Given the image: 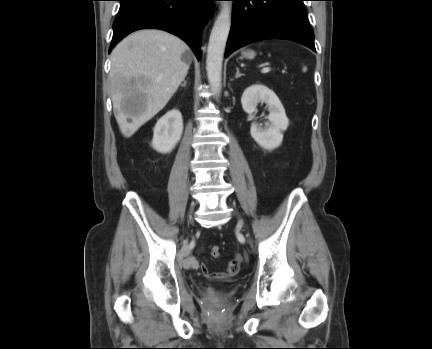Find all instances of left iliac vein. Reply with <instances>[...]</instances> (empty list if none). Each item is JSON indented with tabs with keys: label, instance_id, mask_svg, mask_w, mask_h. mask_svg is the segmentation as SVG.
<instances>
[{
	"label": "left iliac vein",
	"instance_id": "4c4485c4",
	"mask_svg": "<svg viewBox=\"0 0 432 349\" xmlns=\"http://www.w3.org/2000/svg\"><path fill=\"white\" fill-rule=\"evenodd\" d=\"M239 223H240V224H243V221H242V220H239Z\"/></svg>",
	"mask_w": 432,
	"mask_h": 349
}]
</instances>
